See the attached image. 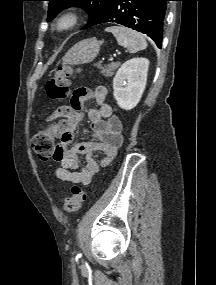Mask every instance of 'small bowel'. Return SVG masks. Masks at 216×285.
Masks as SVG:
<instances>
[{"mask_svg": "<svg viewBox=\"0 0 216 285\" xmlns=\"http://www.w3.org/2000/svg\"><path fill=\"white\" fill-rule=\"evenodd\" d=\"M107 95L108 90L104 86L95 90L78 88L72 96L71 106L62 108L63 118L52 129L53 135L60 139L53 158L60 163L55 173L62 182L88 185L99 170L95 153L104 155L100 166H106L122 145V125L107 103ZM90 100L96 104L88 110L93 139L75 142L77 126L83 120L82 105ZM81 155L85 157V164L80 161Z\"/></svg>", "mask_w": 216, "mask_h": 285, "instance_id": "small-bowel-1", "label": "small bowel"}]
</instances>
